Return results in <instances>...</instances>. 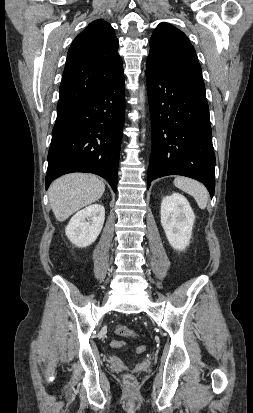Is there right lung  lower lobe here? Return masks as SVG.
Masks as SVG:
<instances>
[{
	"label": "right lung lower lobe",
	"instance_id": "98d812e1",
	"mask_svg": "<svg viewBox=\"0 0 253 413\" xmlns=\"http://www.w3.org/2000/svg\"><path fill=\"white\" fill-rule=\"evenodd\" d=\"M124 115L123 73L102 90L57 108L46 189L61 175L86 172L105 178L116 192Z\"/></svg>",
	"mask_w": 253,
	"mask_h": 413
}]
</instances>
